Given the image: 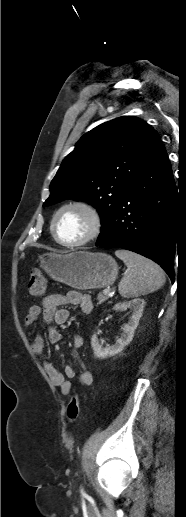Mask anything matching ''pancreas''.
Masks as SVG:
<instances>
[{"instance_id":"cf45deb5","label":"pancreas","mask_w":186,"mask_h":517,"mask_svg":"<svg viewBox=\"0 0 186 517\" xmlns=\"http://www.w3.org/2000/svg\"><path fill=\"white\" fill-rule=\"evenodd\" d=\"M108 298H109L108 295L103 292V293L98 294L97 300H98V303L101 304V303L105 302Z\"/></svg>"}]
</instances>
